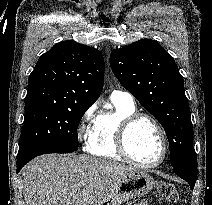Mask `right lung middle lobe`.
Returning a JSON list of instances; mask_svg holds the SVG:
<instances>
[{
    "label": "right lung middle lobe",
    "instance_id": "1",
    "mask_svg": "<svg viewBox=\"0 0 212 205\" xmlns=\"http://www.w3.org/2000/svg\"><path fill=\"white\" fill-rule=\"evenodd\" d=\"M89 107L50 103L25 104L18 155L42 146L78 150L77 128Z\"/></svg>",
    "mask_w": 212,
    "mask_h": 205
}]
</instances>
